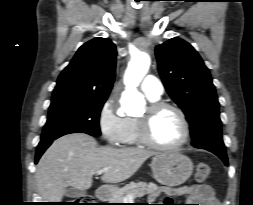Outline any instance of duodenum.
<instances>
[{
	"label": "duodenum",
	"instance_id": "1",
	"mask_svg": "<svg viewBox=\"0 0 253 205\" xmlns=\"http://www.w3.org/2000/svg\"><path fill=\"white\" fill-rule=\"evenodd\" d=\"M96 198L100 201H104L106 200L109 195H110V191L108 188L106 187H99L96 192H95Z\"/></svg>",
	"mask_w": 253,
	"mask_h": 205
}]
</instances>
